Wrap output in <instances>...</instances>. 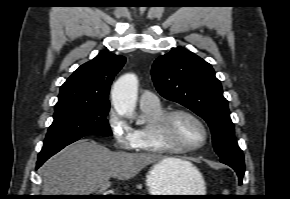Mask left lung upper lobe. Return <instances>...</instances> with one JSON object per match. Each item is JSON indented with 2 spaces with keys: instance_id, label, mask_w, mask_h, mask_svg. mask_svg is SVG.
Masks as SVG:
<instances>
[{
  "instance_id": "5c2ea615",
  "label": "left lung upper lobe",
  "mask_w": 290,
  "mask_h": 199,
  "mask_svg": "<svg viewBox=\"0 0 290 199\" xmlns=\"http://www.w3.org/2000/svg\"><path fill=\"white\" fill-rule=\"evenodd\" d=\"M151 73L164 98L182 104L208 123L220 158H243L234 136L228 102L209 63L179 47L157 58Z\"/></svg>"
}]
</instances>
